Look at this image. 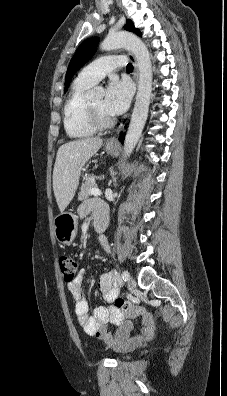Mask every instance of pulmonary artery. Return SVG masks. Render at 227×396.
I'll return each mask as SVG.
<instances>
[{"instance_id": "pulmonary-artery-1", "label": "pulmonary artery", "mask_w": 227, "mask_h": 396, "mask_svg": "<svg viewBox=\"0 0 227 396\" xmlns=\"http://www.w3.org/2000/svg\"><path fill=\"white\" fill-rule=\"evenodd\" d=\"M125 64L124 56H104L84 67L78 78L93 85L114 69L123 67Z\"/></svg>"}]
</instances>
